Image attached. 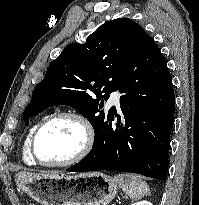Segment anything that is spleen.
Wrapping results in <instances>:
<instances>
[{"mask_svg": "<svg viewBox=\"0 0 199 205\" xmlns=\"http://www.w3.org/2000/svg\"><path fill=\"white\" fill-rule=\"evenodd\" d=\"M114 180L132 200L141 199L150 194L148 184L141 178L131 174H117Z\"/></svg>", "mask_w": 199, "mask_h": 205, "instance_id": "3e777b00", "label": "spleen"}]
</instances>
